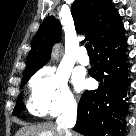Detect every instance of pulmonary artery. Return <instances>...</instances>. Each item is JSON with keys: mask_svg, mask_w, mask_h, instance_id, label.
<instances>
[{"mask_svg": "<svg viewBox=\"0 0 136 136\" xmlns=\"http://www.w3.org/2000/svg\"><path fill=\"white\" fill-rule=\"evenodd\" d=\"M78 62L82 65H88L90 60L89 57L87 55L86 49L84 47H81L79 49V53H78Z\"/></svg>", "mask_w": 136, "mask_h": 136, "instance_id": "pulmonary-artery-1", "label": "pulmonary artery"}]
</instances>
